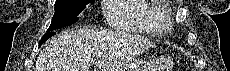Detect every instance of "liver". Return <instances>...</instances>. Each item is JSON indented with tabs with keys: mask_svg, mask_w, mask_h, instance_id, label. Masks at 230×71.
<instances>
[{
	"mask_svg": "<svg viewBox=\"0 0 230 71\" xmlns=\"http://www.w3.org/2000/svg\"><path fill=\"white\" fill-rule=\"evenodd\" d=\"M153 43L124 32L75 28L50 39L40 52L35 71H120ZM103 53L97 58L98 53ZM97 58V61H96Z\"/></svg>",
	"mask_w": 230,
	"mask_h": 71,
	"instance_id": "1",
	"label": "liver"
}]
</instances>
